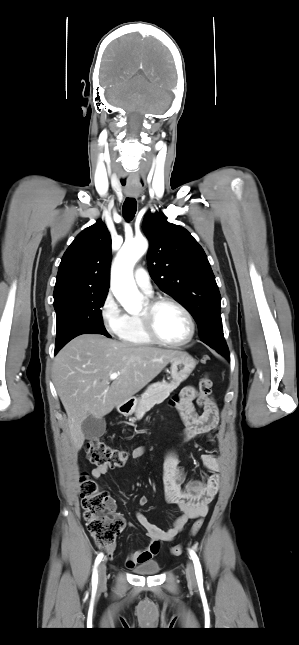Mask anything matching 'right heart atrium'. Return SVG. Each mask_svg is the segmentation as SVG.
<instances>
[{
    "label": "right heart atrium",
    "mask_w": 299,
    "mask_h": 645,
    "mask_svg": "<svg viewBox=\"0 0 299 645\" xmlns=\"http://www.w3.org/2000/svg\"><path fill=\"white\" fill-rule=\"evenodd\" d=\"M100 318L106 332L119 336L126 322V314L111 292H108L100 306Z\"/></svg>",
    "instance_id": "1"
}]
</instances>
